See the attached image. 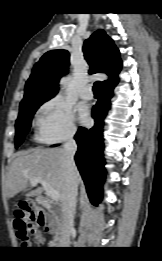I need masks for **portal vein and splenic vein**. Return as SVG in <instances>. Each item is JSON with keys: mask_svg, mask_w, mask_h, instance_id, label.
Returning <instances> with one entry per match:
<instances>
[{"mask_svg": "<svg viewBox=\"0 0 162 261\" xmlns=\"http://www.w3.org/2000/svg\"><path fill=\"white\" fill-rule=\"evenodd\" d=\"M38 183H40L44 190L46 191V194L51 198L53 201H58L59 200V192L54 190L53 187L44 179L42 178H31L30 179V184L32 186H36Z\"/></svg>", "mask_w": 162, "mask_h": 261, "instance_id": "portal-vein-and-splenic-vein-1", "label": "portal vein and splenic vein"}]
</instances>
